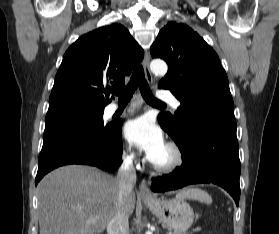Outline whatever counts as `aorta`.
Returning a JSON list of instances; mask_svg holds the SVG:
<instances>
[{
	"mask_svg": "<svg viewBox=\"0 0 279 234\" xmlns=\"http://www.w3.org/2000/svg\"><path fill=\"white\" fill-rule=\"evenodd\" d=\"M151 71L157 76H164L167 73V64L160 59H154L150 63Z\"/></svg>",
	"mask_w": 279,
	"mask_h": 234,
	"instance_id": "1",
	"label": "aorta"
}]
</instances>
